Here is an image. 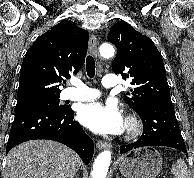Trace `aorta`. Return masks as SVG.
Segmentation results:
<instances>
[{
  "instance_id": "1",
  "label": "aorta",
  "mask_w": 194,
  "mask_h": 178,
  "mask_svg": "<svg viewBox=\"0 0 194 178\" xmlns=\"http://www.w3.org/2000/svg\"><path fill=\"white\" fill-rule=\"evenodd\" d=\"M100 55L104 58H111L114 56V48L111 44L104 43L100 46ZM111 162V152L105 150L101 152L93 163V170L91 172L92 178H106L108 168Z\"/></svg>"
}]
</instances>
